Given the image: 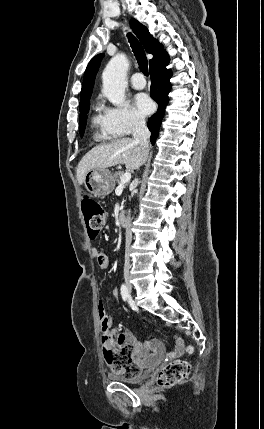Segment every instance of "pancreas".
<instances>
[{"label":"pancreas","mask_w":264,"mask_h":429,"mask_svg":"<svg viewBox=\"0 0 264 429\" xmlns=\"http://www.w3.org/2000/svg\"><path fill=\"white\" fill-rule=\"evenodd\" d=\"M123 175V172L122 171H118V172H115V174H114V180L117 182V183H120V180H121V176Z\"/></svg>","instance_id":"1"}]
</instances>
